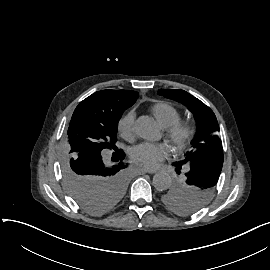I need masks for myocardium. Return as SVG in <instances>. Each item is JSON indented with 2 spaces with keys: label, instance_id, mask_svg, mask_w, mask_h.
Segmentation results:
<instances>
[{
  "label": "myocardium",
  "instance_id": "f54148a6",
  "mask_svg": "<svg viewBox=\"0 0 270 270\" xmlns=\"http://www.w3.org/2000/svg\"><path fill=\"white\" fill-rule=\"evenodd\" d=\"M170 131V138L176 143L190 142L194 133V126L190 121H181Z\"/></svg>",
  "mask_w": 270,
  "mask_h": 270
}]
</instances>
